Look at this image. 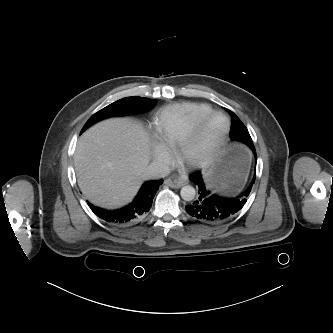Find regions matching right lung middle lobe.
Masks as SVG:
<instances>
[{"mask_svg":"<svg viewBox=\"0 0 333 333\" xmlns=\"http://www.w3.org/2000/svg\"><path fill=\"white\" fill-rule=\"evenodd\" d=\"M156 104V101L151 100L149 98H142V97H126L120 99L107 107L103 108L102 110L95 113L85 124L81 133L86 130L88 127L93 125L94 123L111 117V116H122L130 113H136L141 111H148L152 109Z\"/></svg>","mask_w":333,"mask_h":333,"instance_id":"1","label":"right lung middle lobe"}]
</instances>
